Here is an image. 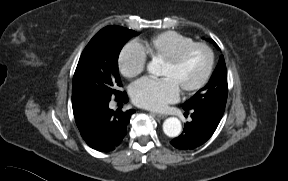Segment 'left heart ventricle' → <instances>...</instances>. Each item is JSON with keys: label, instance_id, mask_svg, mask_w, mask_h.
<instances>
[{"label": "left heart ventricle", "instance_id": "1", "mask_svg": "<svg viewBox=\"0 0 288 181\" xmlns=\"http://www.w3.org/2000/svg\"><path fill=\"white\" fill-rule=\"evenodd\" d=\"M208 64V54L202 48L190 51L182 61L170 66L161 63L158 75L169 78L178 90H183L196 84L204 75Z\"/></svg>", "mask_w": 288, "mask_h": 181}]
</instances>
